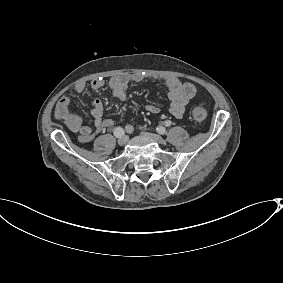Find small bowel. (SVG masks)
Returning <instances> with one entry per match:
<instances>
[{
    "mask_svg": "<svg viewBox=\"0 0 283 283\" xmlns=\"http://www.w3.org/2000/svg\"><path fill=\"white\" fill-rule=\"evenodd\" d=\"M141 74L121 73L114 75L109 80V88L113 96L120 100H125L127 89L130 85L141 83L144 81ZM162 86L167 90L168 99L170 101L169 111L175 118H182L187 105L196 94V87L191 82H184L178 77H164L161 79ZM104 86V80L101 78L94 79L90 83L92 90H99ZM86 89L85 82H79L75 86L76 92L80 93ZM71 101L69 97L62 96L56 104L55 118L63 123L71 131L79 134L82 142L93 140L95 135L105 129H111L115 123L110 118H105L103 114V103L99 99L91 102V116L94 120V129L86 125L82 118L70 111ZM146 110L149 113L157 114L160 109L155 104H147ZM127 133H132L134 128L131 124L124 125Z\"/></svg>",
    "mask_w": 283,
    "mask_h": 283,
    "instance_id": "small-bowel-1",
    "label": "small bowel"
}]
</instances>
